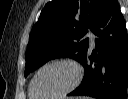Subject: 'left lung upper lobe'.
Masks as SVG:
<instances>
[{"mask_svg": "<svg viewBox=\"0 0 128 99\" xmlns=\"http://www.w3.org/2000/svg\"><path fill=\"white\" fill-rule=\"evenodd\" d=\"M107 0H52L43 8L30 33L25 77L51 59L70 57L80 61L89 47L83 39L93 30Z\"/></svg>", "mask_w": 128, "mask_h": 99, "instance_id": "left-lung-upper-lobe-1", "label": "left lung upper lobe"}]
</instances>
